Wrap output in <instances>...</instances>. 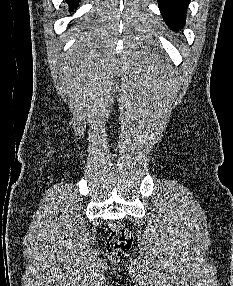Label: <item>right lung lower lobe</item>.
<instances>
[{"instance_id": "right-lung-lower-lobe-1", "label": "right lung lower lobe", "mask_w": 233, "mask_h": 286, "mask_svg": "<svg viewBox=\"0 0 233 286\" xmlns=\"http://www.w3.org/2000/svg\"><path fill=\"white\" fill-rule=\"evenodd\" d=\"M66 1H67V3L70 5V7H71L72 9H74L75 7H77L79 0H66Z\"/></svg>"}]
</instances>
